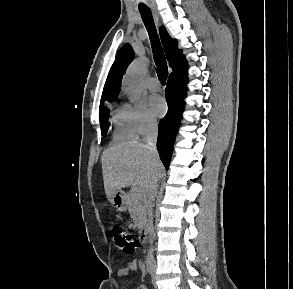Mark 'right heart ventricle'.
<instances>
[{"label": "right heart ventricle", "mask_w": 293, "mask_h": 289, "mask_svg": "<svg viewBox=\"0 0 293 289\" xmlns=\"http://www.w3.org/2000/svg\"><path fill=\"white\" fill-rule=\"evenodd\" d=\"M137 138L131 114L126 106H118L113 111V140L125 141Z\"/></svg>", "instance_id": "right-heart-ventricle-1"}]
</instances>
